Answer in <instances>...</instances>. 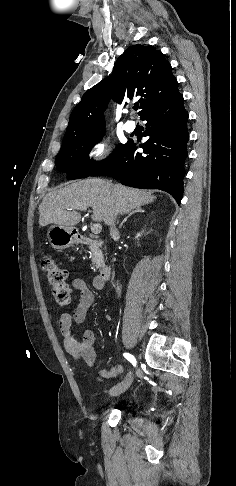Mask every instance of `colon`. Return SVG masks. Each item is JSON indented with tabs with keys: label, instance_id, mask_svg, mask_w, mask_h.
<instances>
[{
	"label": "colon",
	"instance_id": "obj_1",
	"mask_svg": "<svg viewBox=\"0 0 236 486\" xmlns=\"http://www.w3.org/2000/svg\"><path fill=\"white\" fill-rule=\"evenodd\" d=\"M42 268L45 272L47 282L52 288L53 296L57 305L67 306L72 299V289L66 283L67 273L51 258L42 260Z\"/></svg>",
	"mask_w": 236,
	"mask_h": 486
}]
</instances>
